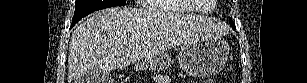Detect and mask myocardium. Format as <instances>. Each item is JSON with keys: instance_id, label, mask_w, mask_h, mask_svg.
Returning <instances> with one entry per match:
<instances>
[{"instance_id": "1", "label": "myocardium", "mask_w": 307, "mask_h": 83, "mask_svg": "<svg viewBox=\"0 0 307 83\" xmlns=\"http://www.w3.org/2000/svg\"><path fill=\"white\" fill-rule=\"evenodd\" d=\"M185 1L187 3H189L191 6H193L195 11L197 10L200 13H203V14H208V13L212 12V10L214 8V5H211V8L209 10H202L196 0H185Z\"/></svg>"}]
</instances>
